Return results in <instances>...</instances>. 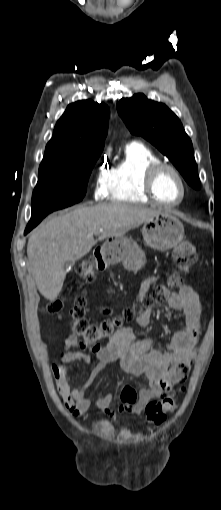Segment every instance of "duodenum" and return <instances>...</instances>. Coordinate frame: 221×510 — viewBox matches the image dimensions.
Listing matches in <instances>:
<instances>
[{
	"mask_svg": "<svg viewBox=\"0 0 221 510\" xmlns=\"http://www.w3.org/2000/svg\"><path fill=\"white\" fill-rule=\"evenodd\" d=\"M94 258H95V262H96V268L99 271H103L106 267V260L104 258L103 249L98 248L95 251Z\"/></svg>",
	"mask_w": 221,
	"mask_h": 510,
	"instance_id": "410a0bca",
	"label": "duodenum"
}]
</instances>
